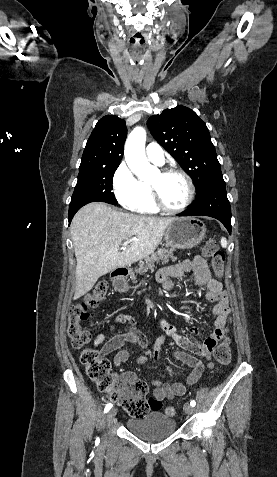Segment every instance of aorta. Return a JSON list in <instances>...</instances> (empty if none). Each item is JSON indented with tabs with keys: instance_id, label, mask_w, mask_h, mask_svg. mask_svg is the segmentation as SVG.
<instances>
[{
	"instance_id": "aorta-1",
	"label": "aorta",
	"mask_w": 277,
	"mask_h": 477,
	"mask_svg": "<svg viewBox=\"0 0 277 477\" xmlns=\"http://www.w3.org/2000/svg\"><path fill=\"white\" fill-rule=\"evenodd\" d=\"M145 142V129L136 127L129 134L124 149L125 160L128 167L140 180H149L158 172L157 167L152 166L146 158Z\"/></svg>"
}]
</instances>
